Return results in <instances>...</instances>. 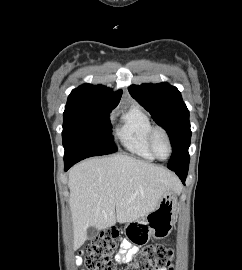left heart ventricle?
I'll return each instance as SVG.
<instances>
[{
    "label": "left heart ventricle",
    "mask_w": 242,
    "mask_h": 270,
    "mask_svg": "<svg viewBox=\"0 0 242 270\" xmlns=\"http://www.w3.org/2000/svg\"><path fill=\"white\" fill-rule=\"evenodd\" d=\"M154 147L157 155L161 158L167 157L169 147L166 138L162 134H158L154 140Z\"/></svg>",
    "instance_id": "obj_1"
}]
</instances>
